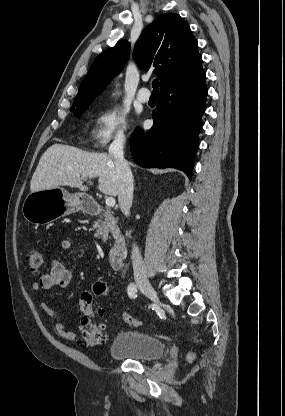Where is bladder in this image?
Returning a JSON list of instances; mask_svg holds the SVG:
<instances>
[{"label":"bladder","mask_w":285,"mask_h":416,"mask_svg":"<svg viewBox=\"0 0 285 416\" xmlns=\"http://www.w3.org/2000/svg\"><path fill=\"white\" fill-rule=\"evenodd\" d=\"M112 357L147 362L161 358L164 340L136 330L119 331L110 346Z\"/></svg>","instance_id":"bladder-1"}]
</instances>
